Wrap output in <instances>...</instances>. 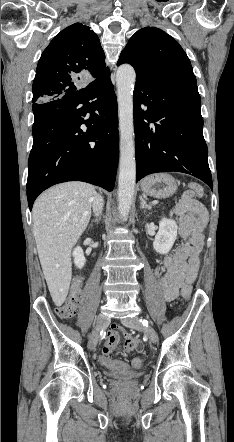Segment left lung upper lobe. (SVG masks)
<instances>
[{"label":"left lung upper lobe","instance_id":"left-lung-upper-lobe-1","mask_svg":"<svg viewBox=\"0 0 234 442\" xmlns=\"http://www.w3.org/2000/svg\"><path fill=\"white\" fill-rule=\"evenodd\" d=\"M122 63L135 68L136 81L197 84L182 47L155 27L143 28L131 37L117 65Z\"/></svg>","mask_w":234,"mask_h":442}]
</instances>
